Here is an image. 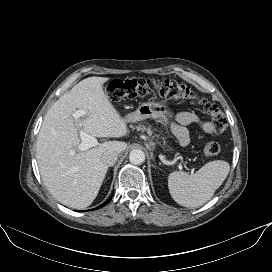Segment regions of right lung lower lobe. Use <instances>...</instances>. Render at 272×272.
Here are the masks:
<instances>
[{"mask_svg": "<svg viewBox=\"0 0 272 272\" xmlns=\"http://www.w3.org/2000/svg\"><path fill=\"white\" fill-rule=\"evenodd\" d=\"M111 198H112V196L106 202H104L102 205H100L99 207H97L96 209L105 206L107 203H109L111 201Z\"/></svg>", "mask_w": 272, "mask_h": 272, "instance_id": "obj_1", "label": "right lung lower lobe"}]
</instances>
